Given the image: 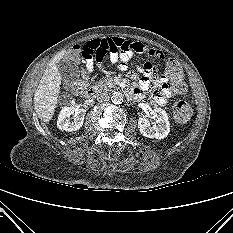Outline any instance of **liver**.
Segmentation results:
<instances>
[{
	"mask_svg": "<svg viewBox=\"0 0 233 233\" xmlns=\"http://www.w3.org/2000/svg\"><path fill=\"white\" fill-rule=\"evenodd\" d=\"M66 55L67 51L63 50L49 62L34 93V109L38 117L45 123L52 119L58 103L62 77L57 63Z\"/></svg>",
	"mask_w": 233,
	"mask_h": 233,
	"instance_id": "1",
	"label": "liver"
}]
</instances>
